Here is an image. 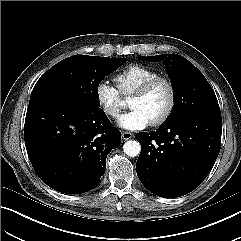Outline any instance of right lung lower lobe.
I'll use <instances>...</instances> for the list:
<instances>
[{"instance_id": "98d812e1", "label": "right lung lower lobe", "mask_w": 241, "mask_h": 241, "mask_svg": "<svg viewBox=\"0 0 241 241\" xmlns=\"http://www.w3.org/2000/svg\"><path fill=\"white\" fill-rule=\"evenodd\" d=\"M30 162L39 178L65 194L94 189L121 132L99 108L87 110L59 99L31 103L24 126Z\"/></svg>"}]
</instances>
